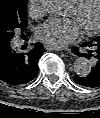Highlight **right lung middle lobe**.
<instances>
[{
    "label": "right lung middle lobe",
    "instance_id": "1",
    "mask_svg": "<svg viewBox=\"0 0 100 118\" xmlns=\"http://www.w3.org/2000/svg\"><path fill=\"white\" fill-rule=\"evenodd\" d=\"M27 0H0V44L10 42L13 35L21 32L26 37Z\"/></svg>",
    "mask_w": 100,
    "mask_h": 118
}]
</instances>
